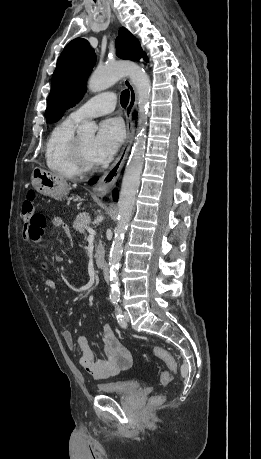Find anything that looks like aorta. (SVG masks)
Here are the masks:
<instances>
[{
  "label": "aorta",
  "instance_id": "aorta-1",
  "mask_svg": "<svg viewBox=\"0 0 261 459\" xmlns=\"http://www.w3.org/2000/svg\"><path fill=\"white\" fill-rule=\"evenodd\" d=\"M124 76H129L138 94L139 128L122 180L118 201V223L109 253L110 298L112 300H118L120 297L118 270L122 257L123 241L131 219L144 165L145 129L151 96V83L146 72L137 64L130 62H119L98 68L88 81V88L91 92H100L111 87ZM96 130L97 125L94 122L83 121L77 128V134L93 137Z\"/></svg>",
  "mask_w": 261,
  "mask_h": 459
}]
</instances>
